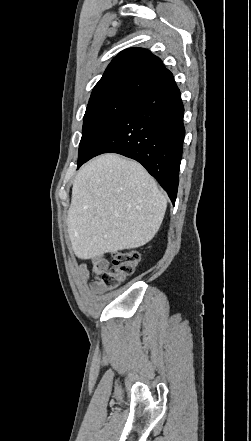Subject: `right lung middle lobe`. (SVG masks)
<instances>
[{
  "mask_svg": "<svg viewBox=\"0 0 251 441\" xmlns=\"http://www.w3.org/2000/svg\"><path fill=\"white\" fill-rule=\"evenodd\" d=\"M137 100L110 98L88 104L79 144L78 165L87 159L94 146Z\"/></svg>",
  "mask_w": 251,
  "mask_h": 441,
  "instance_id": "obj_1",
  "label": "right lung middle lobe"
}]
</instances>
